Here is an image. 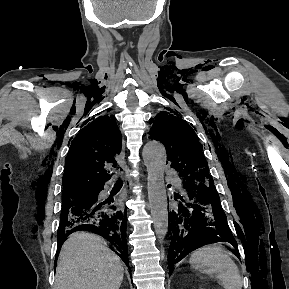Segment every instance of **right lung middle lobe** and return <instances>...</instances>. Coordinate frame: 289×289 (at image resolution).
Listing matches in <instances>:
<instances>
[{
    "mask_svg": "<svg viewBox=\"0 0 289 289\" xmlns=\"http://www.w3.org/2000/svg\"><path fill=\"white\" fill-rule=\"evenodd\" d=\"M93 197L91 191L82 192L75 195L62 197V212L61 216L69 214L74 208H78Z\"/></svg>",
    "mask_w": 289,
    "mask_h": 289,
    "instance_id": "right-lung-middle-lobe-1",
    "label": "right lung middle lobe"
}]
</instances>
